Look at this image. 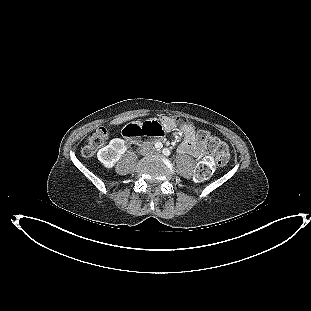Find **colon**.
Listing matches in <instances>:
<instances>
[{
  "label": "colon",
  "instance_id": "5ec220e1",
  "mask_svg": "<svg viewBox=\"0 0 311 311\" xmlns=\"http://www.w3.org/2000/svg\"><path fill=\"white\" fill-rule=\"evenodd\" d=\"M134 130H141L143 134L149 133L160 137L164 134L163 129L155 125L152 128H140L137 126L128 129V133ZM197 138L205 152V157L197 164L194 178L201 182L209 178L215 165L225 166L229 161V150L224 142L206 131L198 130ZM108 132L105 128H99L93 132L81 153L84 157H92L106 143Z\"/></svg>",
  "mask_w": 311,
  "mask_h": 311
}]
</instances>
